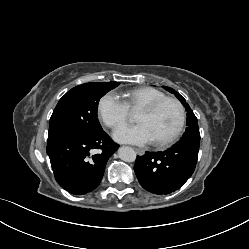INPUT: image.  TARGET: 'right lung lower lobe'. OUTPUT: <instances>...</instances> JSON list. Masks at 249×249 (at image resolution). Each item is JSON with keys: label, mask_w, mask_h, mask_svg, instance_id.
I'll list each match as a JSON object with an SVG mask.
<instances>
[{"label": "right lung lower lobe", "mask_w": 249, "mask_h": 249, "mask_svg": "<svg viewBox=\"0 0 249 249\" xmlns=\"http://www.w3.org/2000/svg\"><path fill=\"white\" fill-rule=\"evenodd\" d=\"M118 147L102 130L61 139L47 145L46 151L60 186L71 194L83 195L99 185L106 163Z\"/></svg>", "instance_id": "obj_1"}]
</instances>
